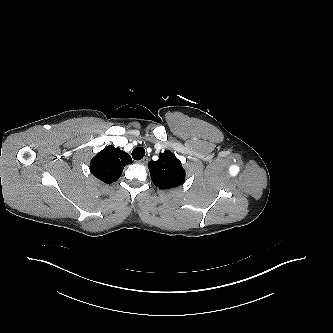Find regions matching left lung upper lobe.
<instances>
[{"label": "left lung upper lobe", "instance_id": "obj_1", "mask_svg": "<svg viewBox=\"0 0 333 333\" xmlns=\"http://www.w3.org/2000/svg\"><path fill=\"white\" fill-rule=\"evenodd\" d=\"M148 168L153 183L160 189L174 188L185 181L182 164L170 151L160 153L157 161L148 163Z\"/></svg>", "mask_w": 333, "mask_h": 333}]
</instances>
